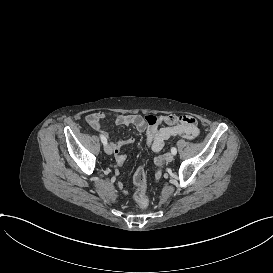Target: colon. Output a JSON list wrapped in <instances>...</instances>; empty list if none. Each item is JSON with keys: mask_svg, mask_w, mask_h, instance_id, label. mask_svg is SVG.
<instances>
[{"mask_svg": "<svg viewBox=\"0 0 273 273\" xmlns=\"http://www.w3.org/2000/svg\"><path fill=\"white\" fill-rule=\"evenodd\" d=\"M144 118H145V122L150 127L157 126L160 123V119L153 114H147L145 115ZM168 118H171V116H168ZM134 183L138 187H141L144 185L145 176H144V170L142 168H137L135 170ZM140 196H144V193H140ZM139 201L141 204H144L145 203L144 197H141Z\"/></svg>", "mask_w": 273, "mask_h": 273, "instance_id": "colon-1", "label": "colon"}]
</instances>
